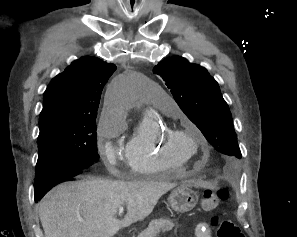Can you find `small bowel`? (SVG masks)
Listing matches in <instances>:
<instances>
[{
	"mask_svg": "<svg viewBox=\"0 0 297 237\" xmlns=\"http://www.w3.org/2000/svg\"><path fill=\"white\" fill-rule=\"evenodd\" d=\"M194 231L196 237H212L209 226L203 221H200L196 224Z\"/></svg>",
	"mask_w": 297,
	"mask_h": 237,
	"instance_id": "small-bowel-1",
	"label": "small bowel"
}]
</instances>
